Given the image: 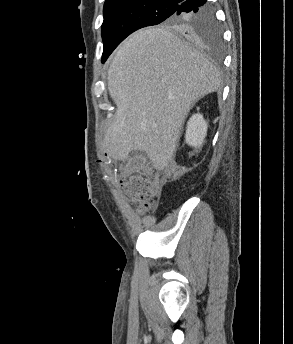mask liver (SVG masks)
Listing matches in <instances>:
<instances>
[{
	"label": "liver",
	"instance_id": "liver-1",
	"mask_svg": "<svg viewBox=\"0 0 293 344\" xmlns=\"http://www.w3.org/2000/svg\"><path fill=\"white\" fill-rule=\"evenodd\" d=\"M107 79L117 106L104 141L107 153L126 160L142 150L158 170L174 159L192 106L221 85L219 70L165 28L140 30L124 41Z\"/></svg>",
	"mask_w": 293,
	"mask_h": 344
}]
</instances>
